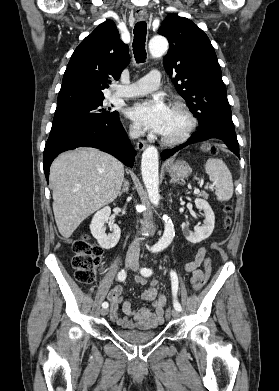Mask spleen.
<instances>
[{
    "label": "spleen",
    "mask_w": 279,
    "mask_h": 391,
    "mask_svg": "<svg viewBox=\"0 0 279 391\" xmlns=\"http://www.w3.org/2000/svg\"><path fill=\"white\" fill-rule=\"evenodd\" d=\"M210 181L215 185V194L219 201H228L233 195L231 172L221 159L210 158L204 165Z\"/></svg>",
    "instance_id": "3e777b00"
}]
</instances>
